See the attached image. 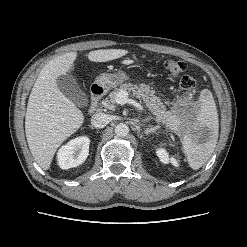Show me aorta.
Here are the masks:
<instances>
[{"mask_svg": "<svg viewBox=\"0 0 247 247\" xmlns=\"http://www.w3.org/2000/svg\"><path fill=\"white\" fill-rule=\"evenodd\" d=\"M114 131L118 137H125L129 133V127L124 123H119L115 126Z\"/></svg>", "mask_w": 247, "mask_h": 247, "instance_id": "1", "label": "aorta"}]
</instances>
